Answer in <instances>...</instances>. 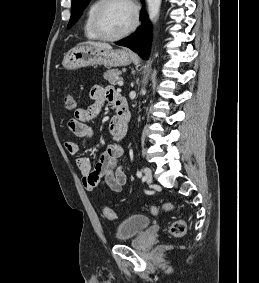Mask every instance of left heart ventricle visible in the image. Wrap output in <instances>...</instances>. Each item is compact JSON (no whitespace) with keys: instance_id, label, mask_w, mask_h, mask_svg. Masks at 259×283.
<instances>
[{"instance_id":"1","label":"left heart ventricle","mask_w":259,"mask_h":283,"mask_svg":"<svg viewBox=\"0 0 259 283\" xmlns=\"http://www.w3.org/2000/svg\"><path fill=\"white\" fill-rule=\"evenodd\" d=\"M133 20V10L125 0H114L100 14V27L106 35H117L126 30Z\"/></svg>"}]
</instances>
